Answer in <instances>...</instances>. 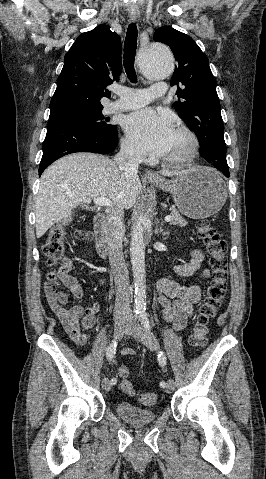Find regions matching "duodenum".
I'll use <instances>...</instances> for the list:
<instances>
[{"label":"duodenum","mask_w":266,"mask_h":479,"mask_svg":"<svg viewBox=\"0 0 266 479\" xmlns=\"http://www.w3.org/2000/svg\"><path fill=\"white\" fill-rule=\"evenodd\" d=\"M108 219L105 214L98 213L94 218V238L96 249L101 258L106 259L108 256V242L106 235V226Z\"/></svg>","instance_id":"410a0bca"}]
</instances>
